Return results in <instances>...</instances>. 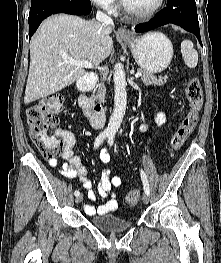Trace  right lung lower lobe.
I'll return each mask as SVG.
<instances>
[{
  "label": "right lung lower lobe",
  "instance_id": "obj_1",
  "mask_svg": "<svg viewBox=\"0 0 221 263\" xmlns=\"http://www.w3.org/2000/svg\"><path fill=\"white\" fill-rule=\"evenodd\" d=\"M90 0H40L31 4L29 13V38L35 33L40 23L56 13L87 15L91 12Z\"/></svg>",
  "mask_w": 221,
  "mask_h": 263
}]
</instances>
